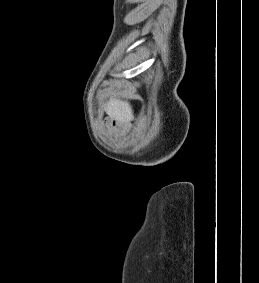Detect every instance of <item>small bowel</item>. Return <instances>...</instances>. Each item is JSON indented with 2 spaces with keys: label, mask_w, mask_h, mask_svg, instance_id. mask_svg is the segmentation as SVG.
<instances>
[{
  "label": "small bowel",
  "mask_w": 259,
  "mask_h": 283,
  "mask_svg": "<svg viewBox=\"0 0 259 283\" xmlns=\"http://www.w3.org/2000/svg\"><path fill=\"white\" fill-rule=\"evenodd\" d=\"M104 128L115 137H123L128 133V128L120 122L109 119L104 123Z\"/></svg>",
  "instance_id": "1"
}]
</instances>
